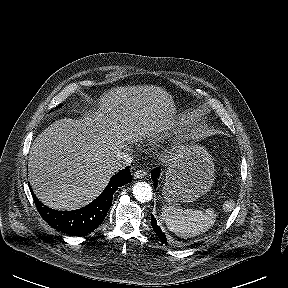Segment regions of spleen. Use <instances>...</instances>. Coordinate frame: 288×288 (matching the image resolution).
I'll list each match as a JSON object with an SVG mask.
<instances>
[{"label":"spleen","mask_w":288,"mask_h":288,"mask_svg":"<svg viewBox=\"0 0 288 288\" xmlns=\"http://www.w3.org/2000/svg\"><path fill=\"white\" fill-rule=\"evenodd\" d=\"M161 216L171 232L187 239L208 231L215 223L217 215L212 209L201 211L164 204Z\"/></svg>","instance_id":"spleen-1"}]
</instances>
